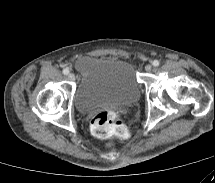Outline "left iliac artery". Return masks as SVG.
Returning a JSON list of instances; mask_svg holds the SVG:
<instances>
[{"instance_id": "obj_1", "label": "left iliac artery", "mask_w": 215, "mask_h": 183, "mask_svg": "<svg viewBox=\"0 0 215 183\" xmlns=\"http://www.w3.org/2000/svg\"><path fill=\"white\" fill-rule=\"evenodd\" d=\"M152 64H153V66L157 67V66H159L160 62L158 60H154L152 62Z\"/></svg>"}]
</instances>
